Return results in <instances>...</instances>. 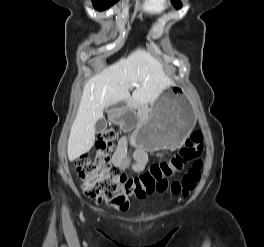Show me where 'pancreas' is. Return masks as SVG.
I'll list each match as a JSON object with an SVG mask.
<instances>
[{
	"mask_svg": "<svg viewBox=\"0 0 264 247\" xmlns=\"http://www.w3.org/2000/svg\"><path fill=\"white\" fill-rule=\"evenodd\" d=\"M130 105H131V106H134V105H135V102H132Z\"/></svg>",
	"mask_w": 264,
	"mask_h": 247,
	"instance_id": "pancreas-1",
	"label": "pancreas"
}]
</instances>
